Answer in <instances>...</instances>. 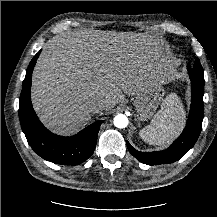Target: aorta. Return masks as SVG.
<instances>
[{"mask_svg":"<svg viewBox=\"0 0 217 217\" xmlns=\"http://www.w3.org/2000/svg\"><path fill=\"white\" fill-rule=\"evenodd\" d=\"M113 122H114L115 127L122 129V128L127 127L128 118L124 114H118L114 117Z\"/></svg>","mask_w":217,"mask_h":217,"instance_id":"aorta-1","label":"aorta"}]
</instances>
